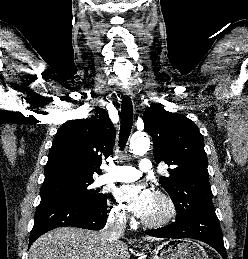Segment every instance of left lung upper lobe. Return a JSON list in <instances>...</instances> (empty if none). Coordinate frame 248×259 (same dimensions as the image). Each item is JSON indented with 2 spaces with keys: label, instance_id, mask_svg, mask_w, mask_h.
Returning a JSON list of instances; mask_svg holds the SVG:
<instances>
[{
  "label": "left lung upper lobe",
  "instance_id": "left-lung-upper-lobe-1",
  "mask_svg": "<svg viewBox=\"0 0 248 259\" xmlns=\"http://www.w3.org/2000/svg\"><path fill=\"white\" fill-rule=\"evenodd\" d=\"M143 121L153 138L156 162L172 165L169 177L159 181L175 205L176 218L215 211L207 155L198 127L184 115L156 105L145 110Z\"/></svg>",
  "mask_w": 248,
  "mask_h": 259
}]
</instances>
